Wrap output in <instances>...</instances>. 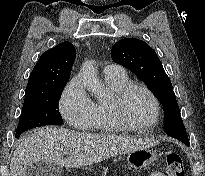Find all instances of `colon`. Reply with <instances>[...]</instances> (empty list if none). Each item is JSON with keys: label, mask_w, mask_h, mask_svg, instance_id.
I'll return each instance as SVG.
<instances>
[{"label": "colon", "mask_w": 205, "mask_h": 176, "mask_svg": "<svg viewBox=\"0 0 205 176\" xmlns=\"http://www.w3.org/2000/svg\"><path fill=\"white\" fill-rule=\"evenodd\" d=\"M167 176H185L182 159L177 153H170L166 157ZM156 176H164L162 174Z\"/></svg>", "instance_id": "obj_1"}]
</instances>
